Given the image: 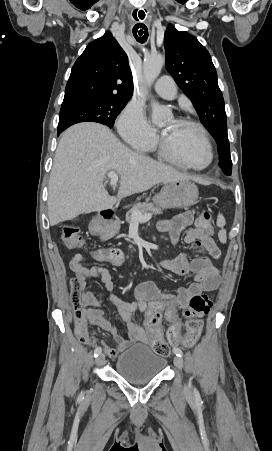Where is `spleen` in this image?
Masks as SVG:
<instances>
[{"instance_id":"3e777b00","label":"spleen","mask_w":272,"mask_h":451,"mask_svg":"<svg viewBox=\"0 0 272 451\" xmlns=\"http://www.w3.org/2000/svg\"><path fill=\"white\" fill-rule=\"evenodd\" d=\"M216 224L218 227H222V229H219V231H218V237H219L221 243H226V241H227L226 229H223L226 222H225V218H224V216H222V214H219V216H217Z\"/></svg>"}]
</instances>
